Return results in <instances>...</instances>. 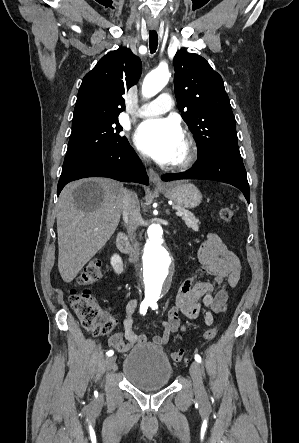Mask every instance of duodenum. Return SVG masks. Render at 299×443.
Listing matches in <instances>:
<instances>
[{"label": "duodenum", "mask_w": 299, "mask_h": 443, "mask_svg": "<svg viewBox=\"0 0 299 443\" xmlns=\"http://www.w3.org/2000/svg\"><path fill=\"white\" fill-rule=\"evenodd\" d=\"M116 244L118 249L128 255L130 258L133 257V250L132 247L128 241L127 236L124 233H119L117 236Z\"/></svg>", "instance_id": "410a0bca"}]
</instances>
